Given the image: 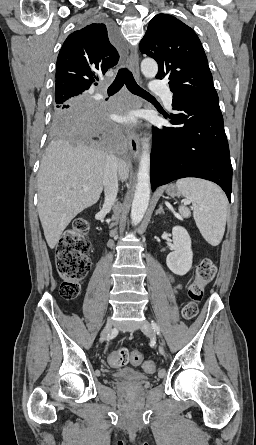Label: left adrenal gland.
<instances>
[{
	"label": "left adrenal gland",
	"mask_w": 256,
	"mask_h": 445,
	"mask_svg": "<svg viewBox=\"0 0 256 445\" xmlns=\"http://www.w3.org/2000/svg\"><path fill=\"white\" fill-rule=\"evenodd\" d=\"M160 213L164 214V210H163V206L162 205H159L158 210H156V212H155L156 215L160 214Z\"/></svg>",
	"instance_id": "a2214340"
}]
</instances>
